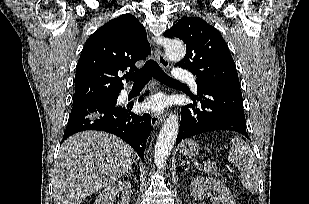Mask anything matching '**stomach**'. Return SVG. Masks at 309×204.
<instances>
[{
    "instance_id": "stomach-1",
    "label": "stomach",
    "mask_w": 309,
    "mask_h": 204,
    "mask_svg": "<svg viewBox=\"0 0 309 204\" xmlns=\"http://www.w3.org/2000/svg\"><path fill=\"white\" fill-rule=\"evenodd\" d=\"M200 146L193 140H187L180 146V152L185 156H195L199 153Z\"/></svg>"
}]
</instances>
